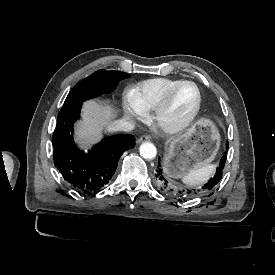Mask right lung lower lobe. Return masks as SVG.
<instances>
[{
	"instance_id": "right-lung-lower-lobe-1",
	"label": "right lung lower lobe",
	"mask_w": 275,
	"mask_h": 275,
	"mask_svg": "<svg viewBox=\"0 0 275 275\" xmlns=\"http://www.w3.org/2000/svg\"><path fill=\"white\" fill-rule=\"evenodd\" d=\"M82 103L63 106L53 133V158L63 178L76 190L90 193L106 185L116 171L119 158L135 146L131 134L111 136L96 144L88 154L80 151L72 137Z\"/></svg>"
}]
</instances>
